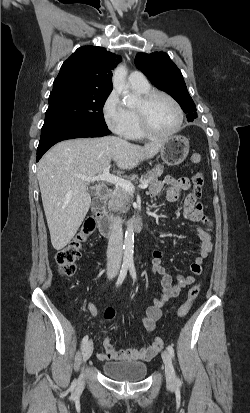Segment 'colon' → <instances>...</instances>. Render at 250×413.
<instances>
[{
	"mask_svg": "<svg viewBox=\"0 0 250 413\" xmlns=\"http://www.w3.org/2000/svg\"><path fill=\"white\" fill-rule=\"evenodd\" d=\"M201 155L194 153L191 155V162L195 165L201 163ZM204 185L203 174L198 171L192 178V196L197 199L201 195L202 187ZM95 230V221L93 218H89L83 225L82 230L79 234L64 248L59 250L55 256V260L58 266V270L62 276L70 277L76 271V260L81 256L83 243ZM200 293V283L194 284L189 292L186 301L181 305L178 310V316L183 318L187 315L192 307L194 300L198 297ZM114 311L112 309H107L104 313L105 319H112L114 317ZM152 345L156 349H161L163 347V340L160 337H156Z\"/></svg>",
	"mask_w": 250,
	"mask_h": 413,
	"instance_id": "1",
	"label": "colon"
}]
</instances>
